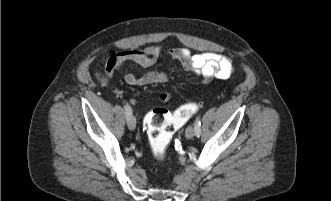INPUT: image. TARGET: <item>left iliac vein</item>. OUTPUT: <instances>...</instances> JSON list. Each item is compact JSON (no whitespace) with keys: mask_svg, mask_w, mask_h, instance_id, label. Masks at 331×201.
<instances>
[{"mask_svg":"<svg viewBox=\"0 0 331 201\" xmlns=\"http://www.w3.org/2000/svg\"><path fill=\"white\" fill-rule=\"evenodd\" d=\"M195 135V129L193 126H188L185 131V136L187 139L193 138Z\"/></svg>","mask_w":331,"mask_h":201,"instance_id":"left-iliac-vein-1","label":"left iliac vein"}]
</instances>
